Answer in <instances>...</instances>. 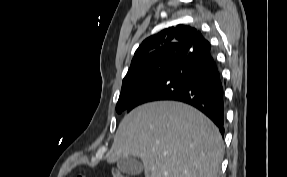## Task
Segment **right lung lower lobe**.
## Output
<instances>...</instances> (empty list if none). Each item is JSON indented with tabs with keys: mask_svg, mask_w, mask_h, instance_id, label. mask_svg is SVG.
Returning <instances> with one entry per match:
<instances>
[{
	"mask_svg": "<svg viewBox=\"0 0 287 177\" xmlns=\"http://www.w3.org/2000/svg\"><path fill=\"white\" fill-rule=\"evenodd\" d=\"M210 49L200 33L188 55L150 84L126 110L157 100L181 101L203 112L224 135V90Z\"/></svg>",
	"mask_w": 287,
	"mask_h": 177,
	"instance_id": "98d812e1",
	"label": "right lung lower lobe"
}]
</instances>
